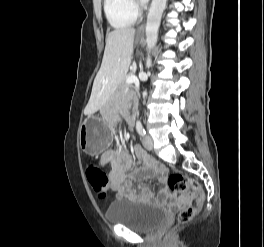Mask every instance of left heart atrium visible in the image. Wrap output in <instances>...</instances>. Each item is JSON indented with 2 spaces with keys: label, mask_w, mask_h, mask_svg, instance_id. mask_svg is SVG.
<instances>
[{
  "label": "left heart atrium",
  "mask_w": 264,
  "mask_h": 247,
  "mask_svg": "<svg viewBox=\"0 0 264 247\" xmlns=\"http://www.w3.org/2000/svg\"><path fill=\"white\" fill-rule=\"evenodd\" d=\"M147 0H140L141 3H145Z\"/></svg>",
  "instance_id": "1"
}]
</instances>
